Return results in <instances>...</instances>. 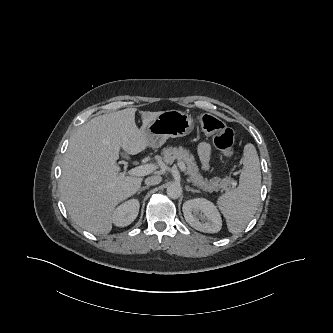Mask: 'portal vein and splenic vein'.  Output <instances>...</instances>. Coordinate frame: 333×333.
<instances>
[{
  "instance_id": "obj_1",
  "label": "portal vein and splenic vein",
  "mask_w": 333,
  "mask_h": 333,
  "mask_svg": "<svg viewBox=\"0 0 333 333\" xmlns=\"http://www.w3.org/2000/svg\"><path fill=\"white\" fill-rule=\"evenodd\" d=\"M178 167L181 171L185 172L186 171V166L182 162H178ZM155 169L153 164H145L141 165L135 168H132L131 170L128 171L129 175L131 176H145L153 172Z\"/></svg>"
}]
</instances>
